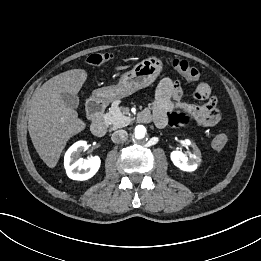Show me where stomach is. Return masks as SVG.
I'll list each match as a JSON object with an SVG mask.
<instances>
[{"instance_id":"0dacf381","label":"stomach","mask_w":261,"mask_h":261,"mask_svg":"<svg viewBox=\"0 0 261 261\" xmlns=\"http://www.w3.org/2000/svg\"><path fill=\"white\" fill-rule=\"evenodd\" d=\"M162 62L156 57H149L125 72L117 85L96 89L92 98L98 102L109 103L127 97L136 91L148 87L159 76Z\"/></svg>"}]
</instances>
